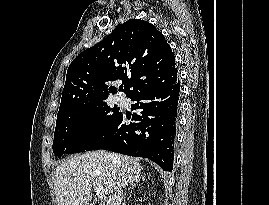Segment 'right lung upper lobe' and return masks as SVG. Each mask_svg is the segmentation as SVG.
<instances>
[{"label": "right lung upper lobe", "mask_w": 269, "mask_h": 205, "mask_svg": "<svg viewBox=\"0 0 269 205\" xmlns=\"http://www.w3.org/2000/svg\"><path fill=\"white\" fill-rule=\"evenodd\" d=\"M121 80L126 96L177 82L174 54L163 34L147 21L130 19L70 64L57 118L104 102L108 86Z\"/></svg>", "instance_id": "obj_1"}]
</instances>
